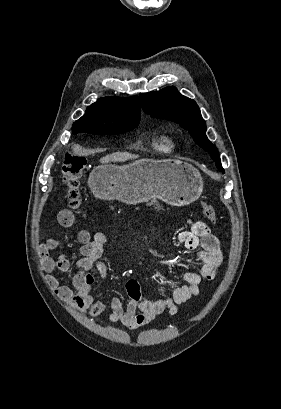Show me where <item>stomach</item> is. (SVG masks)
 Instances as JSON below:
<instances>
[{"label":"stomach","mask_w":281,"mask_h":409,"mask_svg":"<svg viewBox=\"0 0 281 409\" xmlns=\"http://www.w3.org/2000/svg\"><path fill=\"white\" fill-rule=\"evenodd\" d=\"M91 192L103 200H121L137 205L161 198L167 205L184 207L203 192L202 176L193 164L176 158H140L130 164H100L89 174Z\"/></svg>","instance_id":"1"}]
</instances>
